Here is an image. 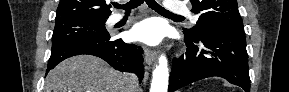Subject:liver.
Segmentation results:
<instances>
[{
  "label": "liver",
  "instance_id": "liver-1",
  "mask_svg": "<svg viewBox=\"0 0 289 92\" xmlns=\"http://www.w3.org/2000/svg\"><path fill=\"white\" fill-rule=\"evenodd\" d=\"M44 92H137L130 91L126 74L91 55L74 56L51 70Z\"/></svg>",
  "mask_w": 289,
  "mask_h": 92
}]
</instances>
